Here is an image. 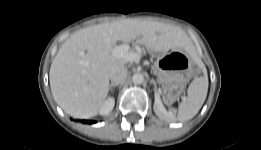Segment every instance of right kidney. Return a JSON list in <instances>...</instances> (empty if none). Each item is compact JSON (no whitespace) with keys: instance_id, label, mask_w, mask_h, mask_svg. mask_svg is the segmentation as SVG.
<instances>
[{"instance_id":"1","label":"right kidney","mask_w":261,"mask_h":150,"mask_svg":"<svg viewBox=\"0 0 261 150\" xmlns=\"http://www.w3.org/2000/svg\"><path fill=\"white\" fill-rule=\"evenodd\" d=\"M114 105H115V100H114V98H108L104 103H103V105L101 106V108H100V111H99V113L101 114V115H107V114H109L111 111H112V109L114 108Z\"/></svg>"}]
</instances>
